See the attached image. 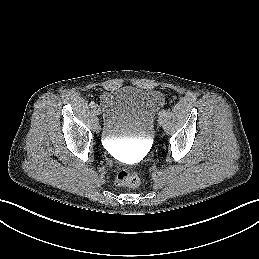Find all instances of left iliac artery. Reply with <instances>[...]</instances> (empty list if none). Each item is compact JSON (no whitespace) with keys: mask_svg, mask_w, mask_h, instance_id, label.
<instances>
[{"mask_svg":"<svg viewBox=\"0 0 259 259\" xmlns=\"http://www.w3.org/2000/svg\"><path fill=\"white\" fill-rule=\"evenodd\" d=\"M166 115V110L165 109H163V110H161L160 112H159V117H163V116H165Z\"/></svg>","mask_w":259,"mask_h":259,"instance_id":"obj_1","label":"left iliac artery"}]
</instances>
